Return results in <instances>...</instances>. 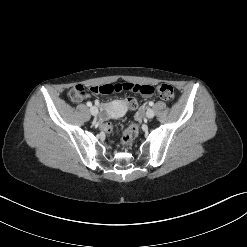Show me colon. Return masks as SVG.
I'll list each match as a JSON object with an SVG mask.
<instances>
[{"instance_id": "5ec220e1", "label": "colon", "mask_w": 247, "mask_h": 247, "mask_svg": "<svg viewBox=\"0 0 247 247\" xmlns=\"http://www.w3.org/2000/svg\"><path fill=\"white\" fill-rule=\"evenodd\" d=\"M90 91L93 93L100 94H111L114 92L121 91H135L138 94H141L142 97H160L164 101L171 102L175 98L174 89L169 84H159L158 86L146 85L145 83L131 84V83H114V84H104L98 86L90 87ZM85 95V88L83 85H76L70 91V97H79ZM124 107L127 110H137L138 109V100L132 96H127L124 102ZM102 129L105 132H111L113 130V124L111 122H105L102 124ZM139 133L138 124H132L123 133V144L125 146H130L136 139Z\"/></svg>"}]
</instances>
